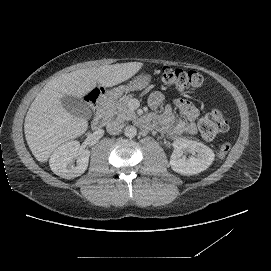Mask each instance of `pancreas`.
<instances>
[{"label":"pancreas","mask_w":271,"mask_h":271,"mask_svg":"<svg viewBox=\"0 0 271 271\" xmlns=\"http://www.w3.org/2000/svg\"><path fill=\"white\" fill-rule=\"evenodd\" d=\"M129 98H125L123 100L112 99L106 105V109L117 118L121 120H128L135 113L128 108Z\"/></svg>","instance_id":"obj_1"}]
</instances>
